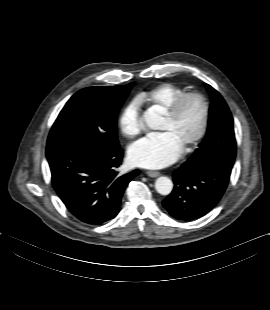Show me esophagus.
Listing matches in <instances>:
<instances>
[{"mask_svg":"<svg viewBox=\"0 0 270 310\" xmlns=\"http://www.w3.org/2000/svg\"><path fill=\"white\" fill-rule=\"evenodd\" d=\"M146 173L149 177H152V178H156V177L160 176V173L157 171H147Z\"/></svg>","mask_w":270,"mask_h":310,"instance_id":"esophagus-1","label":"esophagus"}]
</instances>
